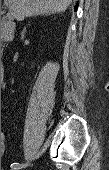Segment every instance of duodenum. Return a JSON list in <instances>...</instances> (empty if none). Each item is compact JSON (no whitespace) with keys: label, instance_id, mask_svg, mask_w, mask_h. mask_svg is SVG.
<instances>
[{"label":"duodenum","instance_id":"obj_1","mask_svg":"<svg viewBox=\"0 0 109 170\" xmlns=\"http://www.w3.org/2000/svg\"><path fill=\"white\" fill-rule=\"evenodd\" d=\"M4 26L6 27V29H10V25L8 23H6Z\"/></svg>","mask_w":109,"mask_h":170}]
</instances>
